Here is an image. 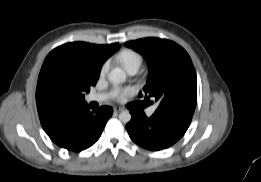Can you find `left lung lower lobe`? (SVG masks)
Wrapping results in <instances>:
<instances>
[{"mask_svg": "<svg viewBox=\"0 0 261 182\" xmlns=\"http://www.w3.org/2000/svg\"><path fill=\"white\" fill-rule=\"evenodd\" d=\"M132 118L126 125L131 139L138 145L153 151L162 150L178 141L188 129L191 120L176 116L130 111Z\"/></svg>", "mask_w": 261, "mask_h": 182, "instance_id": "left-lung-lower-lobe-1", "label": "left lung lower lobe"}]
</instances>
